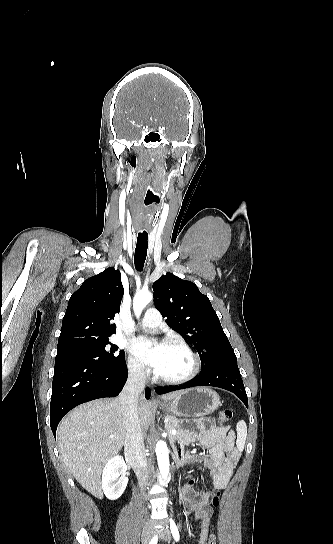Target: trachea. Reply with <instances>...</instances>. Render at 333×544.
<instances>
[{
	"instance_id": "1",
	"label": "trachea",
	"mask_w": 333,
	"mask_h": 544,
	"mask_svg": "<svg viewBox=\"0 0 333 544\" xmlns=\"http://www.w3.org/2000/svg\"><path fill=\"white\" fill-rule=\"evenodd\" d=\"M148 235L138 234L137 245L135 249L134 263L137 271H142L147 256Z\"/></svg>"
}]
</instances>
